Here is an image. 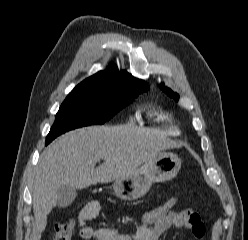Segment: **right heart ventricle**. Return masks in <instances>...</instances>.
<instances>
[{
	"label": "right heart ventricle",
	"instance_id": "1",
	"mask_svg": "<svg viewBox=\"0 0 248 240\" xmlns=\"http://www.w3.org/2000/svg\"><path fill=\"white\" fill-rule=\"evenodd\" d=\"M157 119H158V120H161V121L168 122V121L170 120V117H169V115H167V114H159V115L157 116ZM168 129H169V131H171L172 133H175V134L178 133V130H177L176 128H174V127H170V128H168Z\"/></svg>",
	"mask_w": 248,
	"mask_h": 240
}]
</instances>
